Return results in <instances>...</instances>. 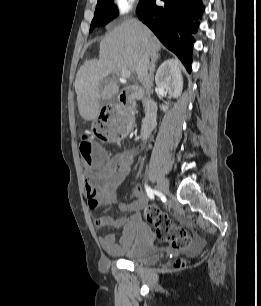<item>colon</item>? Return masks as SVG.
<instances>
[{"instance_id": "obj_1", "label": "colon", "mask_w": 261, "mask_h": 306, "mask_svg": "<svg viewBox=\"0 0 261 306\" xmlns=\"http://www.w3.org/2000/svg\"><path fill=\"white\" fill-rule=\"evenodd\" d=\"M107 111L116 117V122L108 124L105 121L98 120L91 136H85L80 141L79 153L84 170L92 169L102 159V153H99L100 160L97 159L93 140H106L108 137L120 139L127 131L131 119L130 115L116 114L114 107H108ZM144 214L146 220L155 227L157 238L161 242L169 244L175 251L186 250L191 247L193 243L192 237L185 230L175 227L170 217L156 205L147 207ZM181 265L180 261L175 264L176 267Z\"/></svg>"}]
</instances>
